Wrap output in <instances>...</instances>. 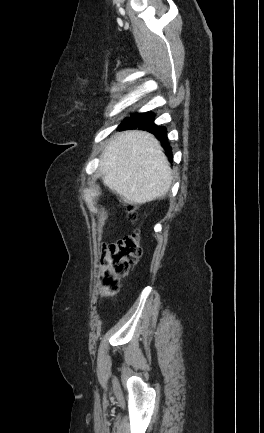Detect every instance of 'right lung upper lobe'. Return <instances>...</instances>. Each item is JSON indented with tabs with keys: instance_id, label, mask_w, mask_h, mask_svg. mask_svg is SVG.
<instances>
[{
	"instance_id": "right-lung-upper-lobe-1",
	"label": "right lung upper lobe",
	"mask_w": 264,
	"mask_h": 433,
	"mask_svg": "<svg viewBox=\"0 0 264 433\" xmlns=\"http://www.w3.org/2000/svg\"><path fill=\"white\" fill-rule=\"evenodd\" d=\"M170 148H171V147H170ZM167 152L171 154V151H168V150H167Z\"/></svg>"
}]
</instances>
